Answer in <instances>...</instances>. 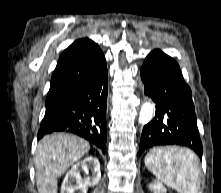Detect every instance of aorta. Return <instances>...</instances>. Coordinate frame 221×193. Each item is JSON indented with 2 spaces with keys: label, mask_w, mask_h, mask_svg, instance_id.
I'll return each mask as SVG.
<instances>
[{
  "label": "aorta",
  "mask_w": 221,
  "mask_h": 193,
  "mask_svg": "<svg viewBox=\"0 0 221 193\" xmlns=\"http://www.w3.org/2000/svg\"><path fill=\"white\" fill-rule=\"evenodd\" d=\"M154 106L146 102L142 105L140 114H139V122L141 124H147L153 117Z\"/></svg>",
  "instance_id": "1"
}]
</instances>
